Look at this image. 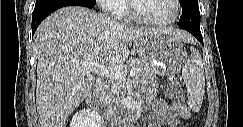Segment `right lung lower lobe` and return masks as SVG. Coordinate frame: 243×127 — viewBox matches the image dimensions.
<instances>
[{
  "mask_svg": "<svg viewBox=\"0 0 243 127\" xmlns=\"http://www.w3.org/2000/svg\"><path fill=\"white\" fill-rule=\"evenodd\" d=\"M65 6H83L92 8L94 5L89 0H36L32 15V33H35L39 24L48 15Z\"/></svg>",
  "mask_w": 243,
  "mask_h": 127,
  "instance_id": "1",
  "label": "right lung lower lobe"
}]
</instances>
